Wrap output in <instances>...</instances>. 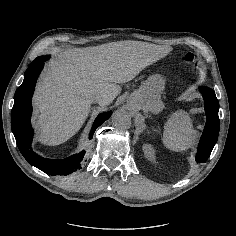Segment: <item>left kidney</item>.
Segmentation results:
<instances>
[{"instance_id":"left-kidney-1","label":"left kidney","mask_w":236,"mask_h":236,"mask_svg":"<svg viewBox=\"0 0 236 236\" xmlns=\"http://www.w3.org/2000/svg\"><path fill=\"white\" fill-rule=\"evenodd\" d=\"M144 156L151 162H156L155 150L151 144H143Z\"/></svg>"}]
</instances>
